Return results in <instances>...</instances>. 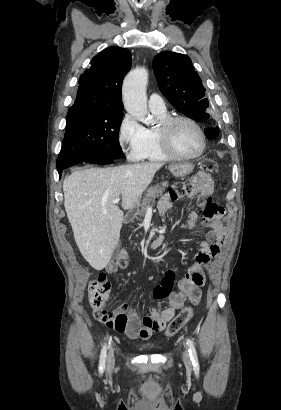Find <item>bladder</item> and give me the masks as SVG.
Returning <instances> with one entry per match:
<instances>
[{
  "label": "bladder",
  "mask_w": 281,
  "mask_h": 410,
  "mask_svg": "<svg viewBox=\"0 0 281 410\" xmlns=\"http://www.w3.org/2000/svg\"><path fill=\"white\" fill-rule=\"evenodd\" d=\"M142 348H145V349H147V348H151L150 346H143Z\"/></svg>",
  "instance_id": "bladder-1"
}]
</instances>
